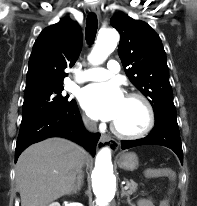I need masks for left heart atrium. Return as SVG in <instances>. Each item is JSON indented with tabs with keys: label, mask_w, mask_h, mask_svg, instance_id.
I'll return each mask as SVG.
<instances>
[{
	"label": "left heart atrium",
	"mask_w": 197,
	"mask_h": 206,
	"mask_svg": "<svg viewBox=\"0 0 197 206\" xmlns=\"http://www.w3.org/2000/svg\"><path fill=\"white\" fill-rule=\"evenodd\" d=\"M125 97L116 82L91 84L84 88L80 102L87 114L94 119L115 121L122 110Z\"/></svg>",
	"instance_id": "1"
}]
</instances>
